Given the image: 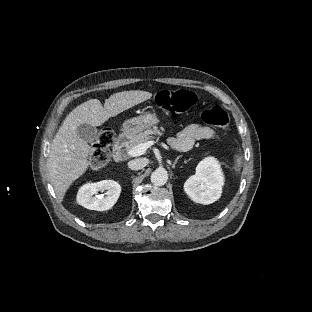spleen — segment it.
Segmentation results:
<instances>
[{"label": "spleen", "mask_w": 312, "mask_h": 312, "mask_svg": "<svg viewBox=\"0 0 312 312\" xmlns=\"http://www.w3.org/2000/svg\"><path fill=\"white\" fill-rule=\"evenodd\" d=\"M234 162H235V165H234V171L236 173H239L241 168H242V164H243V160H242V157L240 154H234Z\"/></svg>", "instance_id": "1"}]
</instances>
